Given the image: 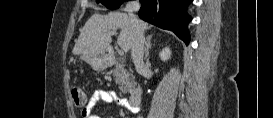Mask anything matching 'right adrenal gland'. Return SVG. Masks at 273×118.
<instances>
[{
    "instance_id": "2a0ac1e0",
    "label": "right adrenal gland",
    "mask_w": 273,
    "mask_h": 118,
    "mask_svg": "<svg viewBox=\"0 0 273 118\" xmlns=\"http://www.w3.org/2000/svg\"><path fill=\"white\" fill-rule=\"evenodd\" d=\"M151 37H152V35L147 36V43H146V48H145V59H147L149 57V50L152 47Z\"/></svg>"
}]
</instances>
